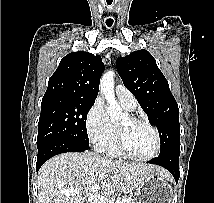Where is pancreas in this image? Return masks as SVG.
<instances>
[{
	"label": "pancreas",
	"mask_w": 214,
	"mask_h": 203,
	"mask_svg": "<svg viewBox=\"0 0 214 203\" xmlns=\"http://www.w3.org/2000/svg\"><path fill=\"white\" fill-rule=\"evenodd\" d=\"M122 199L126 200V203H136L134 199H132V198H125V197L120 198V202L119 203H122Z\"/></svg>",
	"instance_id": "pancreas-1"
}]
</instances>
